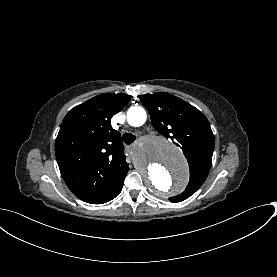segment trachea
<instances>
[{"label":"trachea","mask_w":277,"mask_h":277,"mask_svg":"<svg viewBox=\"0 0 277 277\" xmlns=\"http://www.w3.org/2000/svg\"><path fill=\"white\" fill-rule=\"evenodd\" d=\"M136 137L131 134V133H125L123 134V141L127 144L130 145L131 143H133L135 141Z\"/></svg>","instance_id":"trachea-1"}]
</instances>
